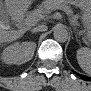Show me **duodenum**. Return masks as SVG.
Returning <instances> with one entry per match:
<instances>
[{
    "label": "duodenum",
    "mask_w": 91,
    "mask_h": 91,
    "mask_svg": "<svg viewBox=\"0 0 91 91\" xmlns=\"http://www.w3.org/2000/svg\"><path fill=\"white\" fill-rule=\"evenodd\" d=\"M18 24H19V25H24V21H23L22 18H19V19H18Z\"/></svg>",
    "instance_id": "1"
}]
</instances>
